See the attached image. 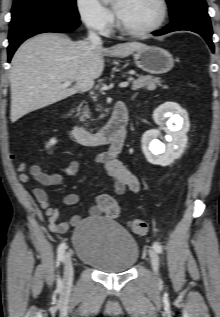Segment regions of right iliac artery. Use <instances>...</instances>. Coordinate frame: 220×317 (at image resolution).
Here are the masks:
<instances>
[{"mask_svg": "<svg viewBox=\"0 0 220 317\" xmlns=\"http://www.w3.org/2000/svg\"><path fill=\"white\" fill-rule=\"evenodd\" d=\"M65 249H66V243L62 242L59 245L58 251H57V266H59L60 263L64 261Z\"/></svg>", "mask_w": 220, "mask_h": 317, "instance_id": "right-iliac-artery-1", "label": "right iliac artery"}]
</instances>
